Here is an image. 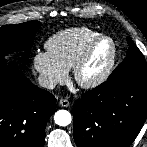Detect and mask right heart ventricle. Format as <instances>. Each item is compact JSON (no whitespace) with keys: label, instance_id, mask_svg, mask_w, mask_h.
Listing matches in <instances>:
<instances>
[{"label":"right heart ventricle","instance_id":"obj_1","mask_svg":"<svg viewBox=\"0 0 147 147\" xmlns=\"http://www.w3.org/2000/svg\"><path fill=\"white\" fill-rule=\"evenodd\" d=\"M99 32L88 27L65 29L51 36L45 43L47 52L66 69L73 68L88 43Z\"/></svg>","mask_w":147,"mask_h":147}]
</instances>
